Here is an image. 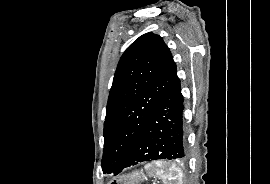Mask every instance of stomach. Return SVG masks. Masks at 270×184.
Here are the masks:
<instances>
[{
	"mask_svg": "<svg viewBox=\"0 0 270 184\" xmlns=\"http://www.w3.org/2000/svg\"><path fill=\"white\" fill-rule=\"evenodd\" d=\"M144 179L145 175L136 171L113 179L109 184H140Z\"/></svg>",
	"mask_w": 270,
	"mask_h": 184,
	"instance_id": "0dacf381",
	"label": "stomach"
}]
</instances>
